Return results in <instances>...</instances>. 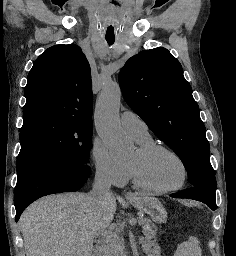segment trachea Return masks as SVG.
<instances>
[{
  "label": "trachea",
  "instance_id": "trachea-1",
  "mask_svg": "<svg viewBox=\"0 0 236 256\" xmlns=\"http://www.w3.org/2000/svg\"><path fill=\"white\" fill-rule=\"evenodd\" d=\"M107 42H108V44H113L114 43V39H107Z\"/></svg>",
  "mask_w": 236,
  "mask_h": 256
}]
</instances>
